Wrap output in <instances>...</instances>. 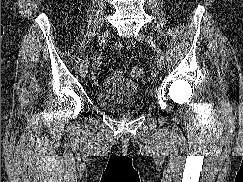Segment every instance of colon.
I'll list each match as a JSON object with an SVG mask.
<instances>
[{
    "instance_id": "5ec220e1",
    "label": "colon",
    "mask_w": 243,
    "mask_h": 182,
    "mask_svg": "<svg viewBox=\"0 0 243 182\" xmlns=\"http://www.w3.org/2000/svg\"><path fill=\"white\" fill-rule=\"evenodd\" d=\"M129 73L131 75V77L135 78V79H140L143 77L144 75V71L141 67L139 66H134L129 70Z\"/></svg>"
}]
</instances>
